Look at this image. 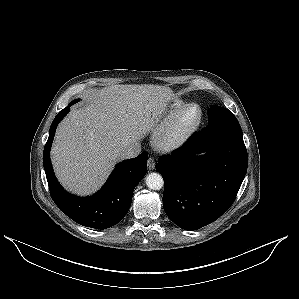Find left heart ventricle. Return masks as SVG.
<instances>
[{
  "label": "left heart ventricle",
  "instance_id": "left-heart-ventricle-1",
  "mask_svg": "<svg viewBox=\"0 0 299 299\" xmlns=\"http://www.w3.org/2000/svg\"><path fill=\"white\" fill-rule=\"evenodd\" d=\"M198 116V110L196 108L190 109L183 117L181 126L182 127H187L191 125L197 118Z\"/></svg>",
  "mask_w": 299,
  "mask_h": 299
}]
</instances>
